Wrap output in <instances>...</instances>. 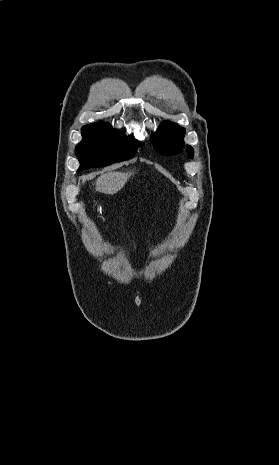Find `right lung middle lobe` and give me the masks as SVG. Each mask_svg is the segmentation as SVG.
I'll return each mask as SVG.
<instances>
[{
	"mask_svg": "<svg viewBox=\"0 0 279 465\" xmlns=\"http://www.w3.org/2000/svg\"><path fill=\"white\" fill-rule=\"evenodd\" d=\"M82 141L76 146V156L80 161L79 170L103 167L115 162L130 159L140 146L135 140L114 130L112 126H94L82 130Z\"/></svg>",
	"mask_w": 279,
	"mask_h": 465,
	"instance_id": "dd1d6c3e",
	"label": "right lung middle lobe"
}]
</instances>
